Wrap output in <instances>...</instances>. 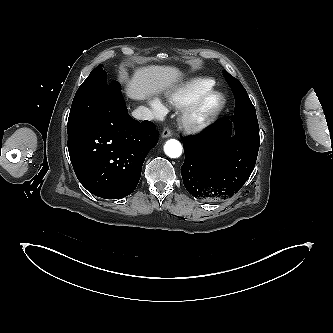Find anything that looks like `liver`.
<instances>
[{
    "mask_svg": "<svg viewBox=\"0 0 333 333\" xmlns=\"http://www.w3.org/2000/svg\"><path fill=\"white\" fill-rule=\"evenodd\" d=\"M182 73L173 66L151 65L134 70V75L127 80L126 95L134 100H144L173 87Z\"/></svg>",
    "mask_w": 333,
    "mask_h": 333,
    "instance_id": "liver-1",
    "label": "liver"
}]
</instances>
